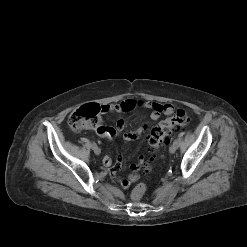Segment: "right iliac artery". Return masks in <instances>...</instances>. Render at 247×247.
I'll use <instances>...</instances> for the list:
<instances>
[{"instance_id":"1","label":"right iliac artery","mask_w":247,"mask_h":247,"mask_svg":"<svg viewBox=\"0 0 247 247\" xmlns=\"http://www.w3.org/2000/svg\"><path fill=\"white\" fill-rule=\"evenodd\" d=\"M94 146H96V143H91V147L93 148Z\"/></svg>"}]
</instances>
